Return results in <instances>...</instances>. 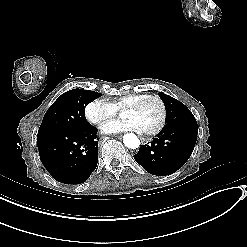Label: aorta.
I'll return each instance as SVG.
<instances>
[{
  "label": "aorta",
  "mask_w": 247,
  "mask_h": 247,
  "mask_svg": "<svg viewBox=\"0 0 247 247\" xmlns=\"http://www.w3.org/2000/svg\"><path fill=\"white\" fill-rule=\"evenodd\" d=\"M123 143L129 149H136L140 145V141L134 133L125 134L123 136Z\"/></svg>",
  "instance_id": "obj_1"
}]
</instances>
